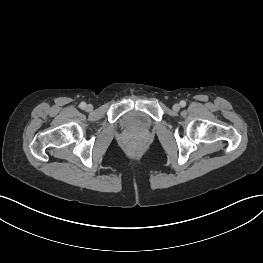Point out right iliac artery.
<instances>
[{"instance_id": "right-iliac-artery-1", "label": "right iliac artery", "mask_w": 263, "mask_h": 263, "mask_svg": "<svg viewBox=\"0 0 263 263\" xmlns=\"http://www.w3.org/2000/svg\"><path fill=\"white\" fill-rule=\"evenodd\" d=\"M80 108L81 109H85L86 108V103L85 102L80 103Z\"/></svg>"}]
</instances>
